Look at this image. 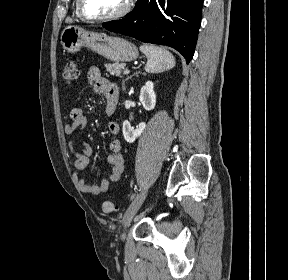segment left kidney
Here are the masks:
<instances>
[{
  "label": "left kidney",
  "instance_id": "5707ae66",
  "mask_svg": "<svg viewBox=\"0 0 288 280\" xmlns=\"http://www.w3.org/2000/svg\"><path fill=\"white\" fill-rule=\"evenodd\" d=\"M139 101L141 102L145 110L150 111L154 109L156 105V94L154 92L153 82L148 81L141 88ZM145 128L146 124L144 122L140 123L138 127L134 129L127 120L124 121L122 127L124 139L128 143H133L143 133Z\"/></svg>",
  "mask_w": 288,
  "mask_h": 280
}]
</instances>
